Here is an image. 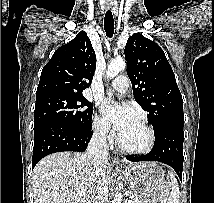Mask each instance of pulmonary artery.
Listing matches in <instances>:
<instances>
[{
  "instance_id": "1",
  "label": "pulmonary artery",
  "mask_w": 214,
  "mask_h": 203,
  "mask_svg": "<svg viewBox=\"0 0 214 203\" xmlns=\"http://www.w3.org/2000/svg\"><path fill=\"white\" fill-rule=\"evenodd\" d=\"M114 90L125 93L129 87V79L125 75L117 76L111 83Z\"/></svg>"
}]
</instances>
